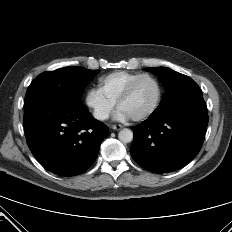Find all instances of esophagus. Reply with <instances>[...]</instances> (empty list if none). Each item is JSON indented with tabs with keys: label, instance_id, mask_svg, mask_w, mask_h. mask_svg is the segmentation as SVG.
I'll list each match as a JSON object with an SVG mask.
<instances>
[{
	"label": "esophagus",
	"instance_id": "1",
	"mask_svg": "<svg viewBox=\"0 0 232 232\" xmlns=\"http://www.w3.org/2000/svg\"><path fill=\"white\" fill-rule=\"evenodd\" d=\"M111 127H112V129H114V130H120V129L122 128V126H121L120 124H114V125H112Z\"/></svg>",
	"mask_w": 232,
	"mask_h": 232
}]
</instances>
